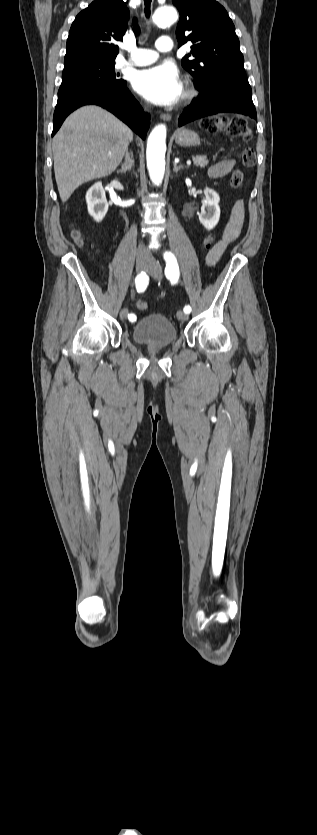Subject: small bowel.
I'll return each instance as SVG.
<instances>
[{
	"label": "small bowel",
	"mask_w": 317,
	"mask_h": 835,
	"mask_svg": "<svg viewBox=\"0 0 317 835\" xmlns=\"http://www.w3.org/2000/svg\"><path fill=\"white\" fill-rule=\"evenodd\" d=\"M235 160L227 159L215 163L208 169L209 177L213 179H224L234 168ZM244 221V211L241 204L235 205L230 221L228 222L223 238L206 254L205 261L209 266L215 265L221 258L228 244L236 240L241 232Z\"/></svg>",
	"instance_id": "small-bowel-1"
}]
</instances>
